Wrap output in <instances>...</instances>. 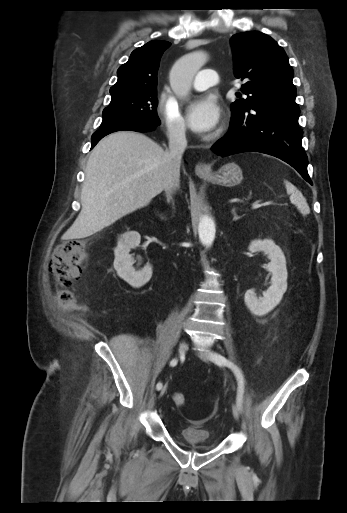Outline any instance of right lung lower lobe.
I'll list each match as a JSON object with an SVG mask.
<instances>
[{"label":"right lung lower lobe","mask_w":347,"mask_h":513,"mask_svg":"<svg viewBox=\"0 0 347 513\" xmlns=\"http://www.w3.org/2000/svg\"><path fill=\"white\" fill-rule=\"evenodd\" d=\"M154 126L144 125L136 122H123V123H117L110 126L100 127L99 130H97L92 135V147L93 148L97 142L106 136L107 134H110L112 132L120 131V130H131V131H137V132H148L153 130Z\"/></svg>","instance_id":"right-lung-lower-lobe-1"}]
</instances>
